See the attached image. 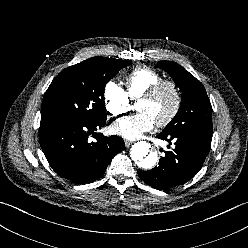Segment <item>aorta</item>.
Segmentation results:
<instances>
[{
    "mask_svg": "<svg viewBox=\"0 0 248 248\" xmlns=\"http://www.w3.org/2000/svg\"><path fill=\"white\" fill-rule=\"evenodd\" d=\"M130 157L143 169H151L158 162V154L151 151V145L147 141H139L130 149Z\"/></svg>",
    "mask_w": 248,
    "mask_h": 248,
    "instance_id": "1",
    "label": "aorta"
}]
</instances>
